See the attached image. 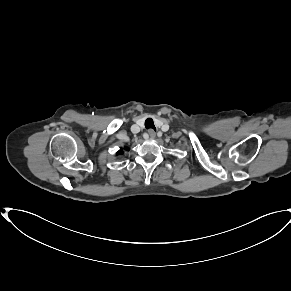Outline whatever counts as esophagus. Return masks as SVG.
Wrapping results in <instances>:
<instances>
[{"label":"esophagus","instance_id":"obj_1","mask_svg":"<svg viewBox=\"0 0 291 291\" xmlns=\"http://www.w3.org/2000/svg\"><path fill=\"white\" fill-rule=\"evenodd\" d=\"M148 134H149L150 138H155V136H156L155 131L152 130V129H149V130H148Z\"/></svg>","mask_w":291,"mask_h":291}]
</instances>
